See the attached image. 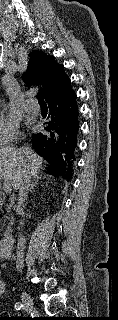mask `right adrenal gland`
I'll return each instance as SVG.
<instances>
[{
  "instance_id": "obj_1",
  "label": "right adrenal gland",
  "mask_w": 118,
  "mask_h": 320,
  "mask_svg": "<svg viewBox=\"0 0 118 320\" xmlns=\"http://www.w3.org/2000/svg\"><path fill=\"white\" fill-rule=\"evenodd\" d=\"M42 178H43L42 173H41L40 175H36V176L34 177V182H32V184L30 185L29 192H32V190L34 189V187L37 185L38 181H39L40 179H42Z\"/></svg>"
}]
</instances>
